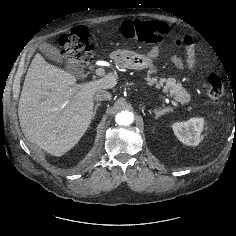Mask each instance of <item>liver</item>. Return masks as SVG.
<instances>
[{"label":"liver","mask_w":236,"mask_h":236,"mask_svg":"<svg viewBox=\"0 0 236 236\" xmlns=\"http://www.w3.org/2000/svg\"><path fill=\"white\" fill-rule=\"evenodd\" d=\"M117 84L113 74L76 84L72 74L37 53L26 74L18 116L26 139L54 156L71 150L90 126L94 95Z\"/></svg>","instance_id":"6515ba94"}]
</instances>
